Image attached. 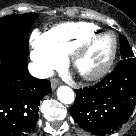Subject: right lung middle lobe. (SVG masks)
Returning <instances> with one entry per match:
<instances>
[{
    "instance_id": "obj_1",
    "label": "right lung middle lobe",
    "mask_w": 136,
    "mask_h": 136,
    "mask_svg": "<svg viewBox=\"0 0 136 136\" xmlns=\"http://www.w3.org/2000/svg\"><path fill=\"white\" fill-rule=\"evenodd\" d=\"M36 17V13H27L0 18V54L28 56V33Z\"/></svg>"
}]
</instances>
